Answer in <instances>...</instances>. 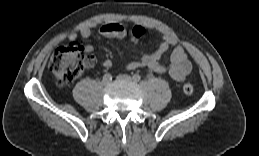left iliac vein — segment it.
I'll use <instances>...</instances> for the list:
<instances>
[{"mask_svg":"<svg viewBox=\"0 0 259 156\" xmlns=\"http://www.w3.org/2000/svg\"><path fill=\"white\" fill-rule=\"evenodd\" d=\"M118 80H124V81H132V78L126 74H122L117 76Z\"/></svg>","mask_w":259,"mask_h":156,"instance_id":"4c4485c4","label":"left iliac vein"}]
</instances>
